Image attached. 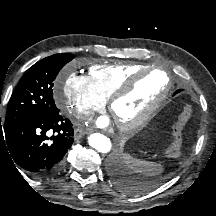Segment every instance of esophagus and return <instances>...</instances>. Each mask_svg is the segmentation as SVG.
I'll return each mask as SVG.
<instances>
[{"mask_svg":"<svg viewBox=\"0 0 216 216\" xmlns=\"http://www.w3.org/2000/svg\"><path fill=\"white\" fill-rule=\"evenodd\" d=\"M84 134H86V130L77 128L74 131L75 138H81Z\"/></svg>","mask_w":216,"mask_h":216,"instance_id":"34e87169","label":"esophagus"}]
</instances>
